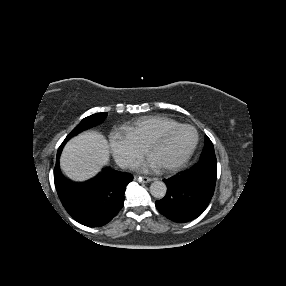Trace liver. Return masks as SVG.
I'll use <instances>...</instances> for the list:
<instances>
[{
  "mask_svg": "<svg viewBox=\"0 0 286 286\" xmlns=\"http://www.w3.org/2000/svg\"><path fill=\"white\" fill-rule=\"evenodd\" d=\"M109 160L107 140L96 131H85L69 140L62 152L60 166L74 181L96 175Z\"/></svg>",
  "mask_w": 286,
  "mask_h": 286,
  "instance_id": "1",
  "label": "liver"
}]
</instances>
